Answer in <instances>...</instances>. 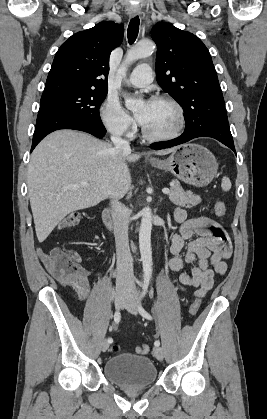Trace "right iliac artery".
<instances>
[{
  "label": "right iliac artery",
  "instance_id": "right-iliac-artery-1",
  "mask_svg": "<svg viewBox=\"0 0 267 419\" xmlns=\"http://www.w3.org/2000/svg\"><path fill=\"white\" fill-rule=\"evenodd\" d=\"M120 319H121V314H120V312L118 310L114 314V322L116 324H118L120 322ZM107 341H108V343H112L113 339L112 338H108Z\"/></svg>",
  "mask_w": 267,
  "mask_h": 419
}]
</instances>
